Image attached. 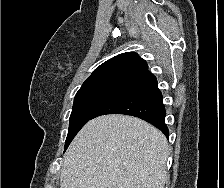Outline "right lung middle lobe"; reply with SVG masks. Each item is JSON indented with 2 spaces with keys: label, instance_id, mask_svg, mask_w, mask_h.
<instances>
[{
  "label": "right lung middle lobe",
  "instance_id": "1",
  "mask_svg": "<svg viewBox=\"0 0 224 188\" xmlns=\"http://www.w3.org/2000/svg\"><path fill=\"white\" fill-rule=\"evenodd\" d=\"M130 81L111 78L83 83L74 99L65 150L93 114Z\"/></svg>",
  "mask_w": 224,
  "mask_h": 188
}]
</instances>
